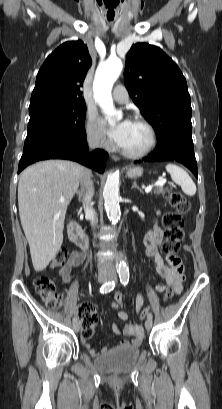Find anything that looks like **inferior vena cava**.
Listing matches in <instances>:
<instances>
[{"instance_id": "obj_1", "label": "inferior vena cava", "mask_w": 222, "mask_h": 409, "mask_svg": "<svg viewBox=\"0 0 222 409\" xmlns=\"http://www.w3.org/2000/svg\"><path fill=\"white\" fill-rule=\"evenodd\" d=\"M102 136L96 134L88 138V145L90 149H95L100 145ZM81 189L83 191V206L85 213L90 216L91 226L94 228L96 225V212L92 208L91 200L94 194L93 182L91 180V172L88 169H85L80 177ZM113 268V264L107 259H100L98 262L99 271H106Z\"/></svg>"}]
</instances>
